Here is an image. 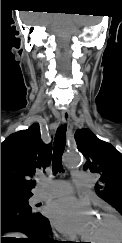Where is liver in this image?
<instances>
[{"mask_svg": "<svg viewBox=\"0 0 122 243\" xmlns=\"http://www.w3.org/2000/svg\"><path fill=\"white\" fill-rule=\"evenodd\" d=\"M9 235L15 236V238H24V236H25V235L20 234V233H13V234H9Z\"/></svg>", "mask_w": 122, "mask_h": 243, "instance_id": "obj_1", "label": "liver"}]
</instances>
